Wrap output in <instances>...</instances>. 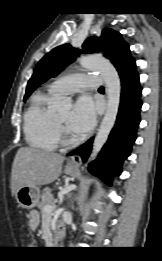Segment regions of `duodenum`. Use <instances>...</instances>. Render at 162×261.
<instances>
[{
	"label": "duodenum",
	"mask_w": 162,
	"mask_h": 261,
	"mask_svg": "<svg viewBox=\"0 0 162 261\" xmlns=\"http://www.w3.org/2000/svg\"><path fill=\"white\" fill-rule=\"evenodd\" d=\"M64 236V230L62 228H58L57 233L52 237V243L57 244L59 239Z\"/></svg>",
	"instance_id": "duodenum-1"
}]
</instances>
